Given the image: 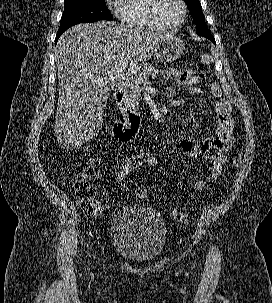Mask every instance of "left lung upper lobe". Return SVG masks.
<instances>
[{
    "label": "left lung upper lobe",
    "mask_w": 272,
    "mask_h": 303,
    "mask_svg": "<svg viewBox=\"0 0 272 303\" xmlns=\"http://www.w3.org/2000/svg\"><path fill=\"white\" fill-rule=\"evenodd\" d=\"M187 4L190 13L193 17L194 23L196 24V33L200 36L211 37V33L207 28L202 7L199 0H184Z\"/></svg>",
    "instance_id": "5c2ea615"
}]
</instances>
